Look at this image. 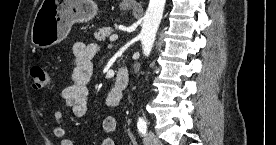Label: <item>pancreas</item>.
<instances>
[{
    "instance_id": "1",
    "label": "pancreas",
    "mask_w": 276,
    "mask_h": 145,
    "mask_svg": "<svg viewBox=\"0 0 276 145\" xmlns=\"http://www.w3.org/2000/svg\"><path fill=\"white\" fill-rule=\"evenodd\" d=\"M113 32L111 27H103L94 33L95 39L105 41V39Z\"/></svg>"
}]
</instances>
